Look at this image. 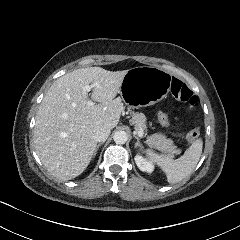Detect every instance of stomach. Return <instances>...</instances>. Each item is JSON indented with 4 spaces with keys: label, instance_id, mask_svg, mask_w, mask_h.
<instances>
[{
    "label": "stomach",
    "instance_id": "1",
    "mask_svg": "<svg viewBox=\"0 0 240 240\" xmlns=\"http://www.w3.org/2000/svg\"><path fill=\"white\" fill-rule=\"evenodd\" d=\"M170 80L171 75L157 67L131 68L119 90L121 99L133 109L154 105L168 95Z\"/></svg>",
    "mask_w": 240,
    "mask_h": 240
}]
</instances>
